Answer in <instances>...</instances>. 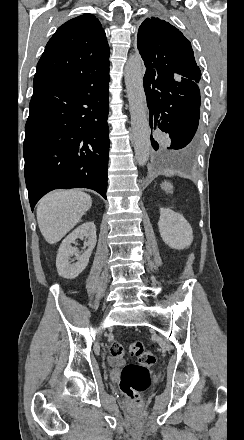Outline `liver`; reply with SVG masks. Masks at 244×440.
Returning <instances> with one entry per match:
<instances>
[{
	"label": "liver",
	"instance_id": "liver-1",
	"mask_svg": "<svg viewBox=\"0 0 244 440\" xmlns=\"http://www.w3.org/2000/svg\"><path fill=\"white\" fill-rule=\"evenodd\" d=\"M92 206V198L78 190L46 194L36 210L40 232L48 244H57Z\"/></svg>",
	"mask_w": 244,
	"mask_h": 440
}]
</instances>
